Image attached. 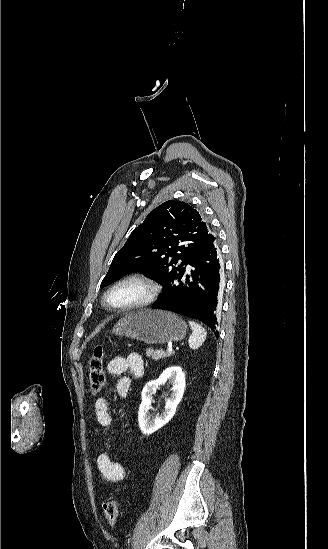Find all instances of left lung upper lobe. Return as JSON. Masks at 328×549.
Instances as JSON below:
<instances>
[{
  "label": "left lung upper lobe",
  "instance_id": "5c2ea615",
  "mask_svg": "<svg viewBox=\"0 0 328 549\" xmlns=\"http://www.w3.org/2000/svg\"><path fill=\"white\" fill-rule=\"evenodd\" d=\"M215 240L199 212L188 203L169 200L153 209L113 258L101 287L139 271L170 294L189 262Z\"/></svg>",
  "mask_w": 328,
  "mask_h": 549
}]
</instances>
